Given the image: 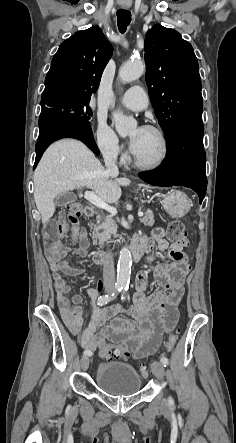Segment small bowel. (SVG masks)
<instances>
[{
    "label": "small bowel",
    "instance_id": "1",
    "mask_svg": "<svg viewBox=\"0 0 236 443\" xmlns=\"http://www.w3.org/2000/svg\"><path fill=\"white\" fill-rule=\"evenodd\" d=\"M72 237L77 247L70 250L62 246L63 254L71 251L74 257H85L89 249L86 230L73 231ZM155 243L161 255H167L173 260L172 263L156 265L152 272L163 290L147 294L149 273L142 271L136 277L133 304L128 308L133 321L117 316L124 310L120 305L109 308L95 307L85 328L81 306L84 298L81 295L70 296L71 288L64 279L65 276L83 275L85 270L72 266L67 261L54 257L51 252H47L61 316L71 334L79 338L83 348L92 352L106 342H113L127 346L135 352L136 357L143 358L155 352L162 337L174 330L178 321V307L184 292L183 280L191 268L182 246L176 243L169 245L162 228L154 229L151 238L136 237L132 246L146 251L150 261L154 258ZM102 289L103 284L98 280L96 287L87 289V294L94 301ZM108 322L110 324L105 326Z\"/></svg>",
    "mask_w": 236,
    "mask_h": 443
}]
</instances>
